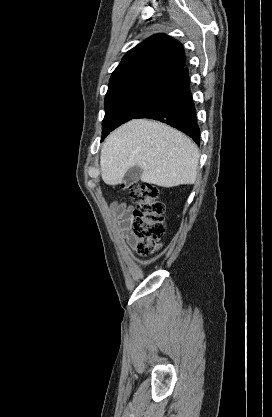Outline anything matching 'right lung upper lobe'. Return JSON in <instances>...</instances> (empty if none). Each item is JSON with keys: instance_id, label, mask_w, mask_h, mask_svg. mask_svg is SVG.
Segmentation results:
<instances>
[{"instance_id": "1", "label": "right lung upper lobe", "mask_w": 272, "mask_h": 417, "mask_svg": "<svg viewBox=\"0 0 272 417\" xmlns=\"http://www.w3.org/2000/svg\"><path fill=\"white\" fill-rule=\"evenodd\" d=\"M184 67L181 43L163 34L153 35L126 53L111 75L106 97L131 88H162Z\"/></svg>"}]
</instances>
